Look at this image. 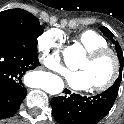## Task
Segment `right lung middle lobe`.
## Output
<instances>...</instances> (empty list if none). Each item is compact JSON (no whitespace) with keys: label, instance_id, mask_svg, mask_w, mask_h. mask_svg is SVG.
<instances>
[{"label":"right lung middle lobe","instance_id":"dd1d6c3e","mask_svg":"<svg viewBox=\"0 0 124 124\" xmlns=\"http://www.w3.org/2000/svg\"><path fill=\"white\" fill-rule=\"evenodd\" d=\"M43 32L39 20L23 9L0 12V37L25 39L37 47V37Z\"/></svg>","mask_w":124,"mask_h":124}]
</instances>
